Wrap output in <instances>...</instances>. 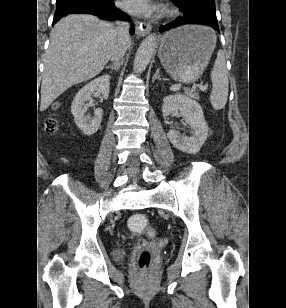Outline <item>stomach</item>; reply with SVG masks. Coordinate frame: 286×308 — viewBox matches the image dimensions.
Wrapping results in <instances>:
<instances>
[{
  "instance_id": "0dacf381",
  "label": "stomach",
  "mask_w": 286,
  "mask_h": 308,
  "mask_svg": "<svg viewBox=\"0 0 286 308\" xmlns=\"http://www.w3.org/2000/svg\"><path fill=\"white\" fill-rule=\"evenodd\" d=\"M216 46L215 32L202 25H184L167 32L158 52L163 67L176 81L197 80Z\"/></svg>"
}]
</instances>
